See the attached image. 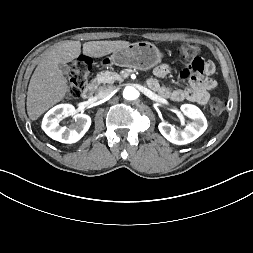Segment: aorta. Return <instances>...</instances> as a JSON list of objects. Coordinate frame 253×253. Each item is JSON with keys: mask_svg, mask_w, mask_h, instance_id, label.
Here are the masks:
<instances>
[{"mask_svg": "<svg viewBox=\"0 0 253 253\" xmlns=\"http://www.w3.org/2000/svg\"><path fill=\"white\" fill-rule=\"evenodd\" d=\"M123 97L127 100H135L138 97V91L131 86H127L123 90Z\"/></svg>", "mask_w": 253, "mask_h": 253, "instance_id": "762f6f07", "label": "aorta"}]
</instances>
